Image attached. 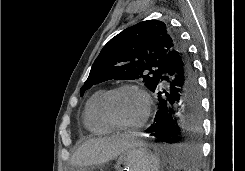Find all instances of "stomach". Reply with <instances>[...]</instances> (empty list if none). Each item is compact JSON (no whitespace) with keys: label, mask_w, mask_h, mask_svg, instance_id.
Masks as SVG:
<instances>
[{"label":"stomach","mask_w":245,"mask_h":171,"mask_svg":"<svg viewBox=\"0 0 245 171\" xmlns=\"http://www.w3.org/2000/svg\"><path fill=\"white\" fill-rule=\"evenodd\" d=\"M160 166L159 156L146 146L129 148L119 155L115 164L117 171H159ZM71 171H87V169L76 167Z\"/></svg>","instance_id":"0dacf381"}]
</instances>
